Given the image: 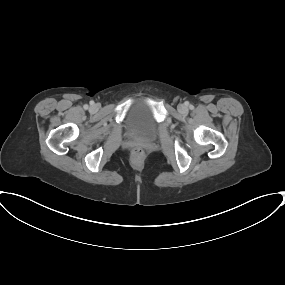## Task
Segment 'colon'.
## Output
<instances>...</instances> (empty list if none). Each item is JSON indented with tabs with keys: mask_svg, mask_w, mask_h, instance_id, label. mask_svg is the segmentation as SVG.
Returning <instances> with one entry per match:
<instances>
[{
	"mask_svg": "<svg viewBox=\"0 0 285 285\" xmlns=\"http://www.w3.org/2000/svg\"><path fill=\"white\" fill-rule=\"evenodd\" d=\"M142 153H143V151H142V149H140V148H136V149L134 150V155H136V156H141Z\"/></svg>",
	"mask_w": 285,
	"mask_h": 285,
	"instance_id": "obj_1",
	"label": "colon"
}]
</instances>
